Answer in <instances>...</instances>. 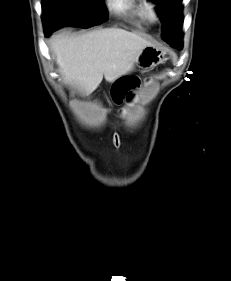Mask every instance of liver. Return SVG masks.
Here are the masks:
<instances>
[{"instance_id":"6515ba94","label":"liver","mask_w":231,"mask_h":281,"mask_svg":"<svg viewBox=\"0 0 231 281\" xmlns=\"http://www.w3.org/2000/svg\"><path fill=\"white\" fill-rule=\"evenodd\" d=\"M51 49L67 82L80 87L86 95L102 82H114L128 74L141 51L151 43L120 28H108L73 37H52Z\"/></svg>"}]
</instances>
